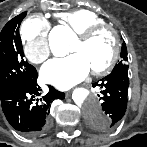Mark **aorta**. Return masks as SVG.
Listing matches in <instances>:
<instances>
[{"label": "aorta", "instance_id": "1", "mask_svg": "<svg viewBox=\"0 0 147 147\" xmlns=\"http://www.w3.org/2000/svg\"><path fill=\"white\" fill-rule=\"evenodd\" d=\"M72 36L73 33L69 29H62L56 34H51L49 42L52 53L56 56H64L67 54ZM73 100L81 107L88 121L107 119L106 114L101 109L100 101L95 94L89 93L85 89H78L73 95Z\"/></svg>", "mask_w": 147, "mask_h": 147}]
</instances>
